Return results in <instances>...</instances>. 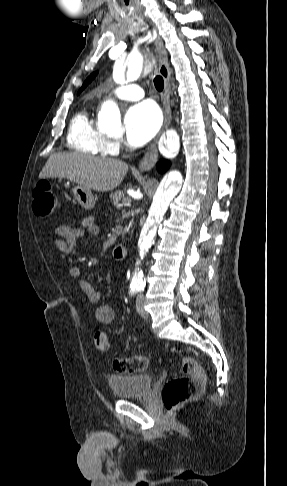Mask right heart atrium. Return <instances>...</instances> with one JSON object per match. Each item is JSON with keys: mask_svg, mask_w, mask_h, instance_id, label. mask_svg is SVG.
<instances>
[{"mask_svg": "<svg viewBox=\"0 0 287 486\" xmlns=\"http://www.w3.org/2000/svg\"><path fill=\"white\" fill-rule=\"evenodd\" d=\"M110 148L112 149V151H117L118 148H119V143L116 142V141H111L110 142Z\"/></svg>", "mask_w": 287, "mask_h": 486, "instance_id": "1", "label": "right heart atrium"}]
</instances>
